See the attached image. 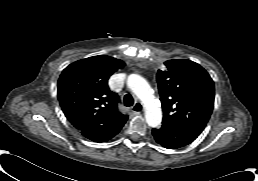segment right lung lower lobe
I'll return each instance as SVG.
<instances>
[{
    "label": "right lung lower lobe",
    "instance_id": "1",
    "mask_svg": "<svg viewBox=\"0 0 258 181\" xmlns=\"http://www.w3.org/2000/svg\"><path fill=\"white\" fill-rule=\"evenodd\" d=\"M125 122H117L106 126H101L83 133L85 137L95 142H105L113 138L123 127Z\"/></svg>",
    "mask_w": 258,
    "mask_h": 181
}]
</instances>
